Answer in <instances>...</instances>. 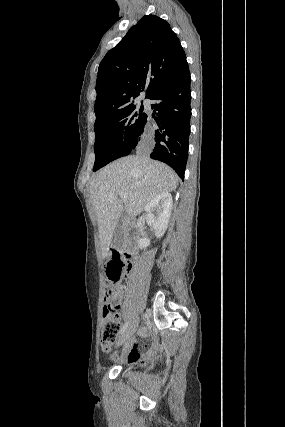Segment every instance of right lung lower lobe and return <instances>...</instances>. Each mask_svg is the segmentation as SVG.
<instances>
[{
  "label": "right lung lower lobe",
  "mask_w": 285,
  "mask_h": 427,
  "mask_svg": "<svg viewBox=\"0 0 285 427\" xmlns=\"http://www.w3.org/2000/svg\"><path fill=\"white\" fill-rule=\"evenodd\" d=\"M190 73L184 74L175 83L159 90L150 99L158 103L151 107L156 113L152 116L158 128L153 132V145L150 157L171 166L184 180L188 158L191 118ZM150 117L147 116L143 137L148 131Z\"/></svg>",
  "instance_id": "obj_1"
}]
</instances>
